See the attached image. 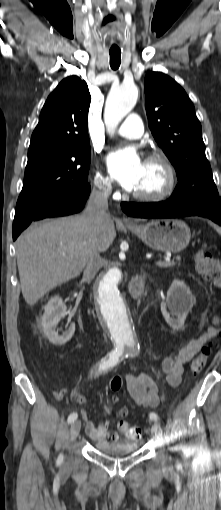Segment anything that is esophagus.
I'll list each match as a JSON object with an SVG mask.
<instances>
[{
	"label": "esophagus",
	"mask_w": 221,
	"mask_h": 510,
	"mask_svg": "<svg viewBox=\"0 0 221 510\" xmlns=\"http://www.w3.org/2000/svg\"><path fill=\"white\" fill-rule=\"evenodd\" d=\"M121 221H122L123 223H125V224H130V223H132V222H133L130 218H128V217H127V216H125V215H123V216L121 217Z\"/></svg>",
	"instance_id": "obj_1"
}]
</instances>
